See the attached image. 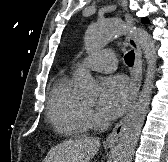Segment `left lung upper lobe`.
<instances>
[{"label": "left lung upper lobe", "mask_w": 168, "mask_h": 162, "mask_svg": "<svg viewBox=\"0 0 168 162\" xmlns=\"http://www.w3.org/2000/svg\"><path fill=\"white\" fill-rule=\"evenodd\" d=\"M141 21H142V23H145V24L149 23V20L147 18H142Z\"/></svg>", "instance_id": "left-lung-upper-lobe-1"}]
</instances>
